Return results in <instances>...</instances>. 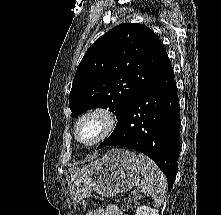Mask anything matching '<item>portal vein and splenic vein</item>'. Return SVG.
Returning <instances> with one entry per match:
<instances>
[{
    "label": "portal vein and splenic vein",
    "instance_id": "obj_1",
    "mask_svg": "<svg viewBox=\"0 0 221 215\" xmlns=\"http://www.w3.org/2000/svg\"><path fill=\"white\" fill-rule=\"evenodd\" d=\"M133 194H136V191H133Z\"/></svg>",
    "mask_w": 221,
    "mask_h": 215
}]
</instances>
